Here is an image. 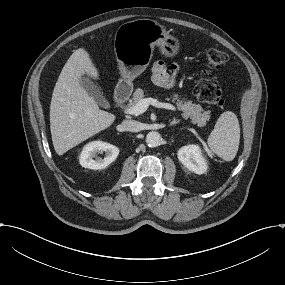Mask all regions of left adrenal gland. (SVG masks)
Segmentation results:
<instances>
[{
	"instance_id": "obj_1",
	"label": "left adrenal gland",
	"mask_w": 285,
	"mask_h": 285,
	"mask_svg": "<svg viewBox=\"0 0 285 285\" xmlns=\"http://www.w3.org/2000/svg\"><path fill=\"white\" fill-rule=\"evenodd\" d=\"M180 122V120H173L172 122H170V126L174 125V124H178Z\"/></svg>"
}]
</instances>
